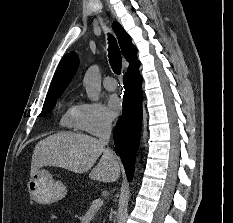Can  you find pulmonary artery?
I'll return each instance as SVG.
<instances>
[{"mask_svg": "<svg viewBox=\"0 0 233 223\" xmlns=\"http://www.w3.org/2000/svg\"><path fill=\"white\" fill-rule=\"evenodd\" d=\"M103 84L107 90L116 89V81L112 77H106L103 81Z\"/></svg>", "mask_w": 233, "mask_h": 223, "instance_id": "obj_1", "label": "pulmonary artery"}]
</instances>
